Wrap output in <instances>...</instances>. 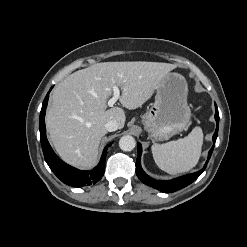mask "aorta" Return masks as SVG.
Returning a JSON list of instances; mask_svg holds the SVG:
<instances>
[{"instance_id":"obj_1","label":"aorta","mask_w":247,"mask_h":247,"mask_svg":"<svg viewBox=\"0 0 247 247\" xmlns=\"http://www.w3.org/2000/svg\"><path fill=\"white\" fill-rule=\"evenodd\" d=\"M136 146V141L131 135L122 136L119 140V147L123 151H132Z\"/></svg>"}]
</instances>
